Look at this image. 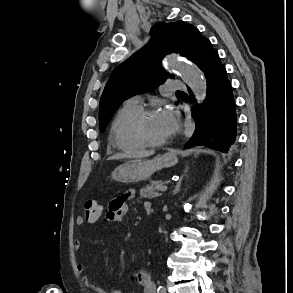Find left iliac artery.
<instances>
[{
	"label": "left iliac artery",
	"instance_id": "1",
	"mask_svg": "<svg viewBox=\"0 0 293 293\" xmlns=\"http://www.w3.org/2000/svg\"><path fill=\"white\" fill-rule=\"evenodd\" d=\"M158 293H166V289L163 286L158 287Z\"/></svg>",
	"mask_w": 293,
	"mask_h": 293
}]
</instances>
